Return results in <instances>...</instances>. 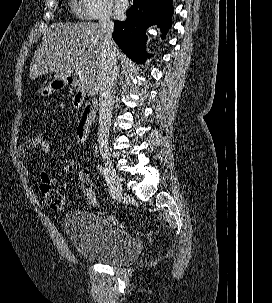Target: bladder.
Wrapping results in <instances>:
<instances>
[{"instance_id":"1","label":"bladder","mask_w":272,"mask_h":303,"mask_svg":"<svg viewBox=\"0 0 272 303\" xmlns=\"http://www.w3.org/2000/svg\"><path fill=\"white\" fill-rule=\"evenodd\" d=\"M63 226L76 252L86 260L122 265L134 261L140 253L133 235L97 213L70 210Z\"/></svg>"}]
</instances>
